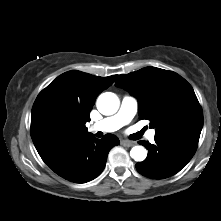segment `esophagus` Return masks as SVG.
<instances>
[{
	"label": "esophagus",
	"mask_w": 221,
	"mask_h": 221,
	"mask_svg": "<svg viewBox=\"0 0 221 221\" xmlns=\"http://www.w3.org/2000/svg\"><path fill=\"white\" fill-rule=\"evenodd\" d=\"M121 144L125 147H131L135 145V142L129 141V140H122Z\"/></svg>",
	"instance_id": "34e87169"
}]
</instances>
